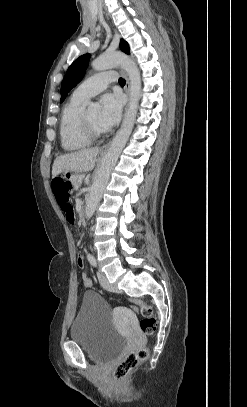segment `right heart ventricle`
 <instances>
[{"mask_svg":"<svg viewBox=\"0 0 247 407\" xmlns=\"http://www.w3.org/2000/svg\"><path fill=\"white\" fill-rule=\"evenodd\" d=\"M85 100L72 96L63 106L59 134L61 146L65 151H79L91 144V140L82 132L80 116Z\"/></svg>","mask_w":247,"mask_h":407,"instance_id":"e07e8e85","label":"right heart ventricle"}]
</instances>
